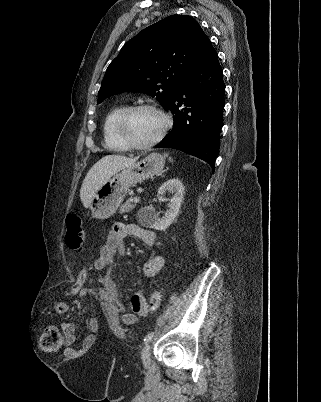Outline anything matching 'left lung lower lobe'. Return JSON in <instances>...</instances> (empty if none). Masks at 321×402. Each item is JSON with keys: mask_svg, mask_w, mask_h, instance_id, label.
<instances>
[{"mask_svg": "<svg viewBox=\"0 0 321 402\" xmlns=\"http://www.w3.org/2000/svg\"><path fill=\"white\" fill-rule=\"evenodd\" d=\"M222 68L209 41L175 89L167 107L174 114L173 130L156 148H175L199 157L214 170L220 147L225 105Z\"/></svg>", "mask_w": 321, "mask_h": 402, "instance_id": "left-lung-lower-lobe-1", "label": "left lung lower lobe"}]
</instances>
